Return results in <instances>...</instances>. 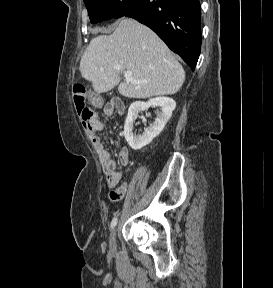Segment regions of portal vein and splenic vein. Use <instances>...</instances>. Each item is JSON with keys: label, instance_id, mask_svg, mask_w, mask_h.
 Returning a JSON list of instances; mask_svg holds the SVG:
<instances>
[{"label": "portal vein and splenic vein", "instance_id": "portal-vein-and-splenic-vein-1", "mask_svg": "<svg viewBox=\"0 0 273 288\" xmlns=\"http://www.w3.org/2000/svg\"><path fill=\"white\" fill-rule=\"evenodd\" d=\"M124 77L126 79L127 82H133V83H139V81H135L133 79V73L132 71H125L124 72Z\"/></svg>", "mask_w": 273, "mask_h": 288}]
</instances>
